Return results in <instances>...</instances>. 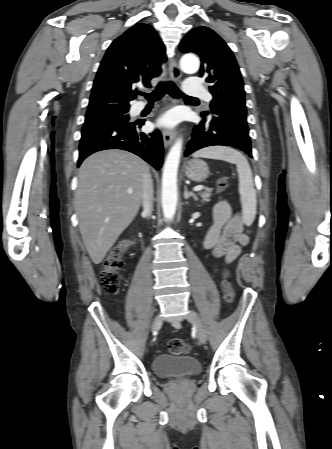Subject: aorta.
Masks as SVG:
<instances>
[{
	"instance_id": "obj_1",
	"label": "aorta",
	"mask_w": 332,
	"mask_h": 449,
	"mask_svg": "<svg viewBox=\"0 0 332 449\" xmlns=\"http://www.w3.org/2000/svg\"><path fill=\"white\" fill-rule=\"evenodd\" d=\"M199 59L194 55H184L180 60L181 69L188 73H196ZM182 152V139H178L171 147L163 167L162 174V210L166 219H172L177 207V173Z\"/></svg>"
}]
</instances>
